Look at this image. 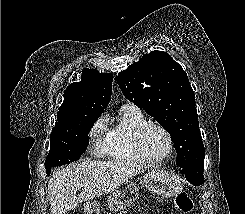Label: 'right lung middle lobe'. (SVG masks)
I'll use <instances>...</instances> for the list:
<instances>
[{"mask_svg":"<svg viewBox=\"0 0 245 214\" xmlns=\"http://www.w3.org/2000/svg\"><path fill=\"white\" fill-rule=\"evenodd\" d=\"M101 113L84 114L76 118L72 125L56 134H51L50 151L45 160L47 175L52 167L77 161L89 144L88 133Z\"/></svg>","mask_w":245,"mask_h":214,"instance_id":"1","label":"right lung middle lobe"}]
</instances>
